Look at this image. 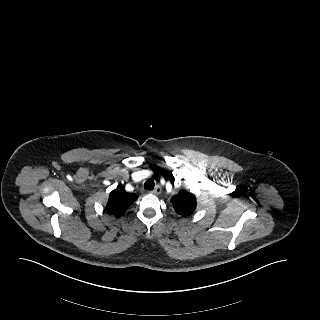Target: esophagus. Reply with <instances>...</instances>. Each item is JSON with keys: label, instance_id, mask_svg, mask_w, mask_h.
I'll return each instance as SVG.
<instances>
[{"label": "esophagus", "instance_id": "1", "mask_svg": "<svg viewBox=\"0 0 320 320\" xmlns=\"http://www.w3.org/2000/svg\"><path fill=\"white\" fill-rule=\"evenodd\" d=\"M150 193L154 195H159L161 193V187L159 185H156L155 188L152 191H150Z\"/></svg>", "mask_w": 320, "mask_h": 320}]
</instances>
